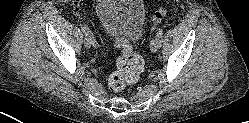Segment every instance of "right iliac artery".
Returning <instances> with one entry per match:
<instances>
[{"label": "right iliac artery", "instance_id": "82829eb1", "mask_svg": "<svg viewBox=\"0 0 249 123\" xmlns=\"http://www.w3.org/2000/svg\"><path fill=\"white\" fill-rule=\"evenodd\" d=\"M81 29H82V31L84 32V34H85L86 36H89V37H90L91 43H92L94 46H96V45H97V42H96V40H95L93 34L91 33L90 29H89L86 25H81Z\"/></svg>", "mask_w": 249, "mask_h": 123}]
</instances>
